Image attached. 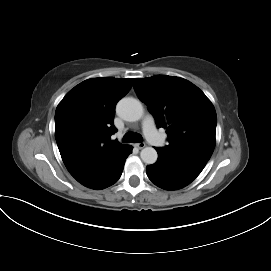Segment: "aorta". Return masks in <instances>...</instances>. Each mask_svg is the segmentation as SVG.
<instances>
[{"mask_svg":"<svg viewBox=\"0 0 271 271\" xmlns=\"http://www.w3.org/2000/svg\"><path fill=\"white\" fill-rule=\"evenodd\" d=\"M118 115L126 121H138L143 116V106L135 98L127 97L121 99L117 104ZM140 157L146 164H154L157 161L158 154L152 147H145L141 150Z\"/></svg>","mask_w":271,"mask_h":271,"instance_id":"aorta-1","label":"aorta"}]
</instances>
